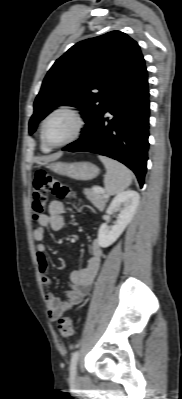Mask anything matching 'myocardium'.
Listing matches in <instances>:
<instances>
[{
	"label": "myocardium",
	"mask_w": 182,
	"mask_h": 399,
	"mask_svg": "<svg viewBox=\"0 0 182 399\" xmlns=\"http://www.w3.org/2000/svg\"><path fill=\"white\" fill-rule=\"evenodd\" d=\"M61 113H65V114H69L70 116H72L75 120V129L74 132L72 133V135L66 139L65 141L58 143V144H53L51 142H49L46 138V126L48 121L55 115L57 114H61ZM85 128V119L83 117V115L81 114V112L73 107V106H68V105H63V106H59L57 108H55L54 110H52L43 120L42 123V127H41V138L43 143L48 146L49 148H60L63 146H66L74 141H76L81 134L83 133V130Z\"/></svg>",
	"instance_id": "myocardium-1"
}]
</instances>
